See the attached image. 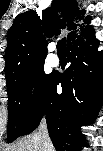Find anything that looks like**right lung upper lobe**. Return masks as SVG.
I'll use <instances>...</instances> for the list:
<instances>
[{
	"label": "right lung upper lobe",
	"instance_id": "cb5924a9",
	"mask_svg": "<svg viewBox=\"0 0 103 151\" xmlns=\"http://www.w3.org/2000/svg\"><path fill=\"white\" fill-rule=\"evenodd\" d=\"M84 11H79L75 0H53L51 8L43 11L40 18L36 11L29 10L19 14L8 31V45L5 51L6 86L24 71L34 65L44 63L47 55V40L67 28L68 44L87 31L90 26L80 23ZM89 17L84 19L88 24Z\"/></svg>",
	"mask_w": 103,
	"mask_h": 151
}]
</instances>
